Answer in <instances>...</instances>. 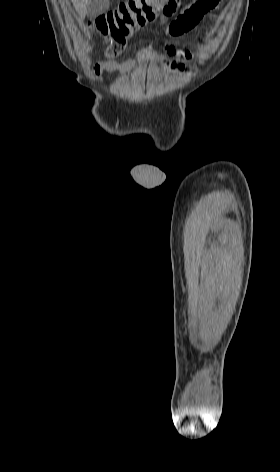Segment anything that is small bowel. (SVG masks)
<instances>
[{"label": "small bowel", "instance_id": "c3829d8e", "mask_svg": "<svg viewBox=\"0 0 280 472\" xmlns=\"http://www.w3.org/2000/svg\"><path fill=\"white\" fill-rule=\"evenodd\" d=\"M207 0H190L187 4L181 7L178 16L172 20L166 27V33L170 37L181 36L195 28L203 17L213 8H205L204 3ZM218 4V3H217ZM214 6V8L217 6ZM166 51L169 56L182 57L189 59L191 53L181 52L173 45H167ZM135 67V60L129 58L123 62H117L113 59H107L98 62L94 66V73L100 75L103 72H119L127 75L133 71Z\"/></svg>", "mask_w": 280, "mask_h": 472}]
</instances>
